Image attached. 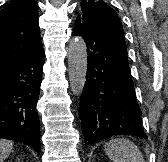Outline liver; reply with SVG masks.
Listing matches in <instances>:
<instances>
[{
    "label": "liver",
    "mask_w": 168,
    "mask_h": 162,
    "mask_svg": "<svg viewBox=\"0 0 168 162\" xmlns=\"http://www.w3.org/2000/svg\"><path fill=\"white\" fill-rule=\"evenodd\" d=\"M13 142L6 139H0V162H3L11 153Z\"/></svg>",
    "instance_id": "1"
}]
</instances>
